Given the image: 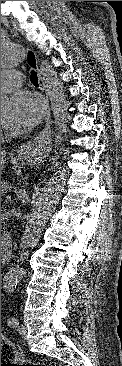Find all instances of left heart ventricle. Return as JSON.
Here are the masks:
<instances>
[{
    "mask_svg": "<svg viewBox=\"0 0 122 366\" xmlns=\"http://www.w3.org/2000/svg\"><path fill=\"white\" fill-rule=\"evenodd\" d=\"M9 94V93H8ZM5 112L3 111V112H1V127H3L4 126V120H5Z\"/></svg>",
    "mask_w": 122,
    "mask_h": 366,
    "instance_id": "b2bd125f",
    "label": "left heart ventricle"
}]
</instances>
